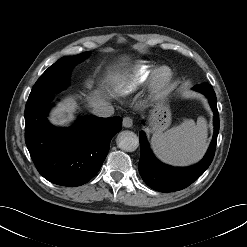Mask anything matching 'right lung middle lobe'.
<instances>
[{
    "label": "right lung middle lobe",
    "instance_id": "dd1d6c3e",
    "mask_svg": "<svg viewBox=\"0 0 247 247\" xmlns=\"http://www.w3.org/2000/svg\"><path fill=\"white\" fill-rule=\"evenodd\" d=\"M89 56L84 52L76 56L59 59L37 80L29 95L30 98L43 99L51 93H59L66 88L71 69Z\"/></svg>",
    "mask_w": 247,
    "mask_h": 247
}]
</instances>
